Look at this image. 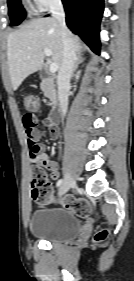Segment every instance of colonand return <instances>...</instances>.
Returning <instances> with one entry per match:
<instances>
[{
	"mask_svg": "<svg viewBox=\"0 0 134 281\" xmlns=\"http://www.w3.org/2000/svg\"><path fill=\"white\" fill-rule=\"evenodd\" d=\"M25 108L28 111H35L39 107V102L34 95H27L24 100ZM30 190L33 201L39 205H44L52 200L53 192L47 175L43 168L34 167L30 177ZM61 205L74 211L80 217H87L90 214V204L83 199L66 197L61 200ZM107 232L100 231L95 235V241L100 242L106 238Z\"/></svg>",
	"mask_w": 134,
	"mask_h": 281,
	"instance_id": "colon-1",
	"label": "colon"
}]
</instances>
